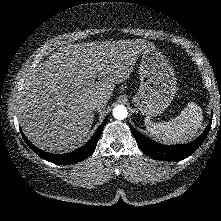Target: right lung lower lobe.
<instances>
[{"instance_id": "right-lung-lower-lobe-1", "label": "right lung lower lobe", "mask_w": 221, "mask_h": 221, "mask_svg": "<svg viewBox=\"0 0 221 221\" xmlns=\"http://www.w3.org/2000/svg\"><path fill=\"white\" fill-rule=\"evenodd\" d=\"M108 117L105 118L103 123L99 126L95 134L92 136V138L86 143L83 147L72 151L70 153H65V154H51L44 152L37 147H35L26 137L25 135L21 132L24 140L28 144V146L40 157L43 159L52 162L54 164L58 165H67V164H72L75 162L83 161L84 159L88 158L95 150L97 142L101 136L102 129L104 125L106 124Z\"/></svg>"}]
</instances>
